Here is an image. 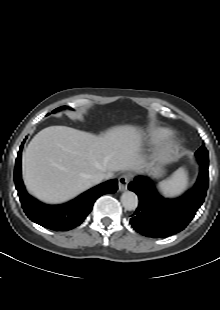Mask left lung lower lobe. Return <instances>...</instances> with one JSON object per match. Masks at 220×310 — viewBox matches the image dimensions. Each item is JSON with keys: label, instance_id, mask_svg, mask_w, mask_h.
<instances>
[{"label": "left lung lower lobe", "instance_id": "0a47b994", "mask_svg": "<svg viewBox=\"0 0 220 310\" xmlns=\"http://www.w3.org/2000/svg\"><path fill=\"white\" fill-rule=\"evenodd\" d=\"M200 172L194 187L184 195L167 199L156 190L152 181L137 176L128 189L139 197V206L130 223L147 237H168L182 231L204 202L209 183V163H199Z\"/></svg>", "mask_w": 220, "mask_h": 310}]
</instances>
